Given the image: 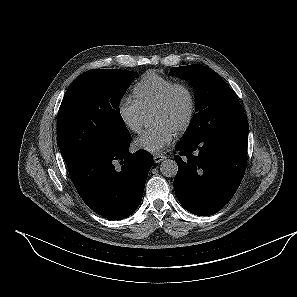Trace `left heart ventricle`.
<instances>
[{
	"label": "left heart ventricle",
	"mask_w": 297,
	"mask_h": 297,
	"mask_svg": "<svg viewBox=\"0 0 297 297\" xmlns=\"http://www.w3.org/2000/svg\"><path fill=\"white\" fill-rule=\"evenodd\" d=\"M187 108L188 103L185 93L183 91H177L168 108L154 109L152 111V121L154 124L166 123L176 130L186 115Z\"/></svg>",
	"instance_id": "left-heart-ventricle-1"
}]
</instances>
